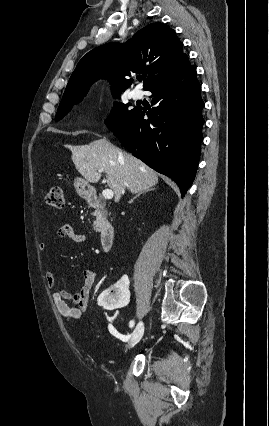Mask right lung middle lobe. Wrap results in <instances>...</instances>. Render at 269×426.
<instances>
[{"label": "right lung middle lobe", "mask_w": 269, "mask_h": 426, "mask_svg": "<svg viewBox=\"0 0 269 426\" xmlns=\"http://www.w3.org/2000/svg\"><path fill=\"white\" fill-rule=\"evenodd\" d=\"M115 98L120 96V93L113 94ZM84 96L72 97V98H64L60 102L55 120H61L73 107L74 104H78ZM129 104L125 105L122 103H115V107L111 113V115L107 118L106 124L110 130H114L118 128L125 118L130 114L132 110H128Z\"/></svg>", "instance_id": "right-lung-middle-lobe-1"}]
</instances>
